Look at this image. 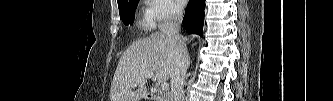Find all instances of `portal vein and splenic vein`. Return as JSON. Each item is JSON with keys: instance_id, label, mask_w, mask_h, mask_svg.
I'll return each mask as SVG.
<instances>
[{"instance_id": "18ae733b", "label": "portal vein and splenic vein", "mask_w": 333, "mask_h": 101, "mask_svg": "<svg viewBox=\"0 0 333 101\" xmlns=\"http://www.w3.org/2000/svg\"><path fill=\"white\" fill-rule=\"evenodd\" d=\"M147 79H156L155 75L153 73L146 75ZM162 91H166L169 88V84L166 82H163L161 84Z\"/></svg>"}]
</instances>
